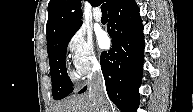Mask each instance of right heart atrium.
<instances>
[{
  "label": "right heart atrium",
  "mask_w": 193,
  "mask_h": 112,
  "mask_svg": "<svg viewBox=\"0 0 193 112\" xmlns=\"http://www.w3.org/2000/svg\"><path fill=\"white\" fill-rule=\"evenodd\" d=\"M67 53L74 74L87 77L100 68L91 35L83 28L76 29L67 42Z\"/></svg>",
  "instance_id": "1"
}]
</instances>
